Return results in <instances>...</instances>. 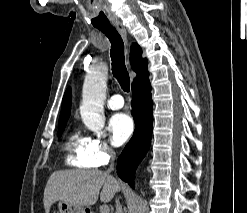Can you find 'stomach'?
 <instances>
[{
    "label": "stomach",
    "instance_id": "0dacf381",
    "mask_svg": "<svg viewBox=\"0 0 247 213\" xmlns=\"http://www.w3.org/2000/svg\"><path fill=\"white\" fill-rule=\"evenodd\" d=\"M59 213H88L87 209L80 205L70 204L64 201L58 203Z\"/></svg>",
    "mask_w": 247,
    "mask_h": 213
}]
</instances>
